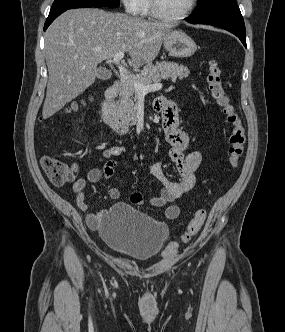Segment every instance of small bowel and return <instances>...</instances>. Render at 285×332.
<instances>
[{
	"mask_svg": "<svg viewBox=\"0 0 285 332\" xmlns=\"http://www.w3.org/2000/svg\"><path fill=\"white\" fill-rule=\"evenodd\" d=\"M155 110L162 114V127L166 142L171 146L168 151V158L175 164L179 173V180H170L163 167V161H157L150 168L151 174L162 184L158 195L150 199L153 207H166L165 216L168 219H175L179 216L180 208L177 200L188 193L196 184L195 171L201 164L202 156L198 151L186 153L189 148V136L179 127V118L176 106L165 99L161 98L155 102ZM126 151L124 146H110L106 148L101 160L102 168H93L88 171L86 178H78L73 182L72 189L76 193V203L81 211H88L85 187L87 182L97 183L102 178L109 181L114 173L117 162L115 157ZM74 174H78L80 167L77 163L71 164ZM120 191L117 188L109 189V197L113 200L120 198ZM131 202L139 205L145 204L139 193H133L130 197ZM103 212H89L86 217L87 224L92 229L100 226Z\"/></svg>",
	"mask_w": 285,
	"mask_h": 332,
	"instance_id": "c3829d8e",
	"label": "small bowel"
}]
</instances>
